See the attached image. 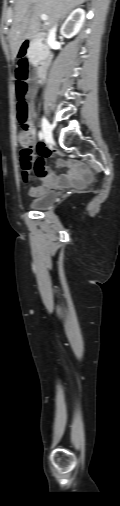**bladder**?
Masks as SVG:
<instances>
[{
	"label": "bladder",
	"instance_id": "1",
	"mask_svg": "<svg viewBox=\"0 0 120 506\" xmlns=\"http://www.w3.org/2000/svg\"><path fill=\"white\" fill-rule=\"evenodd\" d=\"M57 192H47L29 201V207L34 210L43 211L51 207L57 200Z\"/></svg>",
	"mask_w": 120,
	"mask_h": 506
}]
</instances>
